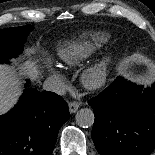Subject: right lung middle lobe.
Returning a JSON list of instances; mask_svg holds the SVG:
<instances>
[{
	"instance_id": "right-lung-middle-lobe-1",
	"label": "right lung middle lobe",
	"mask_w": 155,
	"mask_h": 155,
	"mask_svg": "<svg viewBox=\"0 0 155 155\" xmlns=\"http://www.w3.org/2000/svg\"><path fill=\"white\" fill-rule=\"evenodd\" d=\"M33 28L31 25H26L0 30V63H8L9 58L22 53L27 35Z\"/></svg>"
}]
</instances>
